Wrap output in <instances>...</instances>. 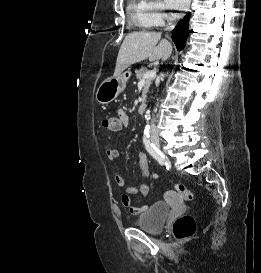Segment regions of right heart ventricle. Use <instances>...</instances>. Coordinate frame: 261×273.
<instances>
[{"label": "right heart ventricle", "instance_id": "e07e8e85", "mask_svg": "<svg viewBox=\"0 0 261 273\" xmlns=\"http://www.w3.org/2000/svg\"><path fill=\"white\" fill-rule=\"evenodd\" d=\"M145 0H129L128 13L131 21L140 29H148L151 27L146 9Z\"/></svg>", "mask_w": 261, "mask_h": 273}]
</instances>
